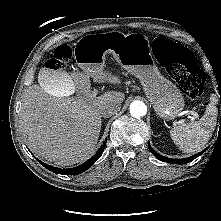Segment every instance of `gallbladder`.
<instances>
[{"label":"gallbladder","instance_id":"bac80fb5","mask_svg":"<svg viewBox=\"0 0 221 221\" xmlns=\"http://www.w3.org/2000/svg\"><path fill=\"white\" fill-rule=\"evenodd\" d=\"M39 86L55 96L67 98L75 90L73 81L62 72L45 69L37 77Z\"/></svg>","mask_w":221,"mask_h":221}]
</instances>
